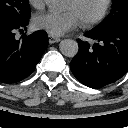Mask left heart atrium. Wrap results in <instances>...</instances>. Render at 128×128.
Wrapping results in <instances>:
<instances>
[{
	"mask_svg": "<svg viewBox=\"0 0 128 128\" xmlns=\"http://www.w3.org/2000/svg\"><path fill=\"white\" fill-rule=\"evenodd\" d=\"M79 19L73 11L56 13L52 11L37 14L33 19L34 26L51 35L60 36L78 25Z\"/></svg>",
	"mask_w": 128,
	"mask_h": 128,
	"instance_id": "obj_1",
	"label": "left heart atrium"
}]
</instances>
